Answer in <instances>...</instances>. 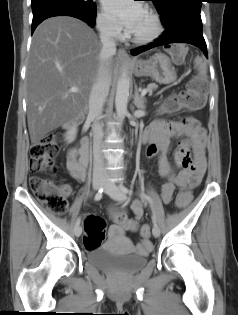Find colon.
<instances>
[{
	"mask_svg": "<svg viewBox=\"0 0 238 315\" xmlns=\"http://www.w3.org/2000/svg\"><path fill=\"white\" fill-rule=\"evenodd\" d=\"M167 52L176 63H181L186 54L187 47L180 44H169L166 46ZM198 74L191 81L188 88L184 91L175 93L167 100L165 108L167 110L186 109L197 111L206 104V82L205 66L201 60L196 61ZM58 152L57 137L49 133L39 139L31 148L30 166L35 174L54 173L56 171L55 157ZM29 186L35 197L50 211L63 214L68 210V201L63 196L59 188L51 181L32 176L29 180ZM192 199L190 191H184L178 194L175 203L178 208L186 207ZM113 219L116 224L124 225L128 218L124 211L114 209ZM85 235L84 246L86 249L98 247L103 238L106 229L104 219L96 215L87 216L84 220ZM141 236L148 239L151 234L150 226L145 224L140 230Z\"/></svg>",
	"mask_w": 238,
	"mask_h": 315,
	"instance_id": "obj_1",
	"label": "colon"
}]
</instances>
